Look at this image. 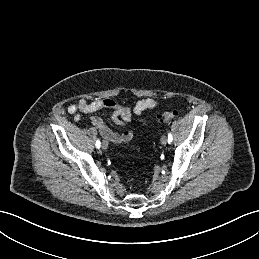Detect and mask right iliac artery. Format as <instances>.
I'll use <instances>...</instances> for the list:
<instances>
[{
  "label": "right iliac artery",
  "instance_id": "right-iliac-artery-1",
  "mask_svg": "<svg viewBox=\"0 0 259 259\" xmlns=\"http://www.w3.org/2000/svg\"><path fill=\"white\" fill-rule=\"evenodd\" d=\"M95 145H96V147H97V148H100V146H101L100 141H99V140H97Z\"/></svg>",
  "mask_w": 259,
  "mask_h": 259
}]
</instances>
